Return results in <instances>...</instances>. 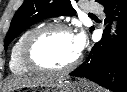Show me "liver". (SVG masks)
<instances>
[{
	"label": "liver",
	"mask_w": 127,
	"mask_h": 92,
	"mask_svg": "<svg viewBox=\"0 0 127 92\" xmlns=\"http://www.w3.org/2000/svg\"><path fill=\"white\" fill-rule=\"evenodd\" d=\"M66 81L64 77L55 75L36 76V77H14L8 79L4 84L3 92H12L22 87H49Z\"/></svg>",
	"instance_id": "6515ba94"
}]
</instances>
